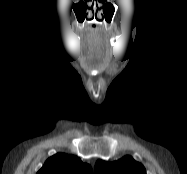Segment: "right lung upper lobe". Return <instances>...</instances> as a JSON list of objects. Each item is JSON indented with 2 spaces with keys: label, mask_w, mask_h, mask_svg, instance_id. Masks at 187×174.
I'll return each instance as SVG.
<instances>
[{
  "label": "right lung upper lobe",
  "mask_w": 187,
  "mask_h": 174,
  "mask_svg": "<svg viewBox=\"0 0 187 174\" xmlns=\"http://www.w3.org/2000/svg\"><path fill=\"white\" fill-rule=\"evenodd\" d=\"M37 174H93L92 168L72 155L58 153L50 157Z\"/></svg>",
  "instance_id": "cb5924a9"
}]
</instances>
